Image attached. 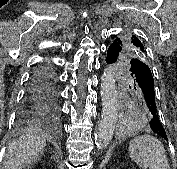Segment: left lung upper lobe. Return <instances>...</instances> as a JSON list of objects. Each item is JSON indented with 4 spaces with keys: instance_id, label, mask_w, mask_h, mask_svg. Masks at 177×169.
Returning a JSON list of instances; mask_svg holds the SVG:
<instances>
[{
    "instance_id": "obj_1",
    "label": "left lung upper lobe",
    "mask_w": 177,
    "mask_h": 169,
    "mask_svg": "<svg viewBox=\"0 0 177 169\" xmlns=\"http://www.w3.org/2000/svg\"><path fill=\"white\" fill-rule=\"evenodd\" d=\"M113 42H117L122 48L117 63H124L130 58H138L148 64L145 46L138 36L127 34L123 38L117 37Z\"/></svg>"
}]
</instances>
